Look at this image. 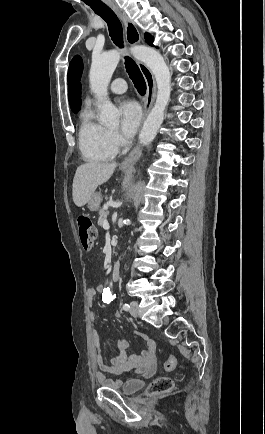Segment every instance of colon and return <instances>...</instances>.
<instances>
[{
	"mask_svg": "<svg viewBox=\"0 0 265 434\" xmlns=\"http://www.w3.org/2000/svg\"><path fill=\"white\" fill-rule=\"evenodd\" d=\"M81 246L84 250H90L94 247L97 240V231L94 227L93 220L90 216L81 215L76 218ZM179 366L178 361L174 358H168L164 363L165 371H172ZM159 380L157 377L148 384L150 394H163L173 390L174 383L172 379L163 377Z\"/></svg>",
	"mask_w": 265,
	"mask_h": 434,
	"instance_id": "1",
	"label": "colon"
}]
</instances>
